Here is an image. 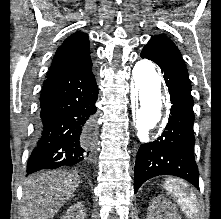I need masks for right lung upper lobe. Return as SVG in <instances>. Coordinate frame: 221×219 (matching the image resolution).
Here are the masks:
<instances>
[{"label":"right lung upper lobe","instance_id":"1","mask_svg":"<svg viewBox=\"0 0 221 219\" xmlns=\"http://www.w3.org/2000/svg\"><path fill=\"white\" fill-rule=\"evenodd\" d=\"M86 33L76 32L57 49L47 78L68 72L90 58Z\"/></svg>","mask_w":221,"mask_h":219}]
</instances>
